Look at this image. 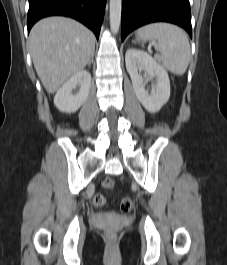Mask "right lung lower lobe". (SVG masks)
I'll return each mask as SVG.
<instances>
[{"label":"right lung lower lobe","instance_id":"right-lung-lower-lobe-1","mask_svg":"<svg viewBox=\"0 0 227 265\" xmlns=\"http://www.w3.org/2000/svg\"><path fill=\"white\" fill-rule=\"evenodd\" d=\"M105 4L106 0H29L28 32L39 19L51 15H62L80 21L90 28L98 39Z\"/></svg>","mask_w":227,"mask_h":265}]
</instances>
